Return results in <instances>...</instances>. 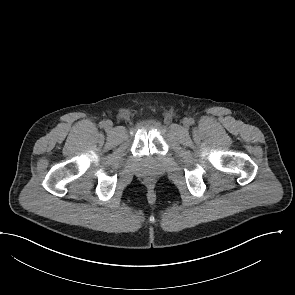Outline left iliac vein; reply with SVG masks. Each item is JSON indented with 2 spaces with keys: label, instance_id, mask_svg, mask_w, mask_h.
I'll return each instance as SVG.
<instances>
[{
  "label": "left iliac vein",
  "instance_id": "1",
  "mask_svg": "<svg viewBox=\"0 0 295 295\" xmlns=\"http://www.w3.org/2000/svg\"><path fill=\"white\" fill-rule=\"evenodd\" d=\"M183 126L185 128H188L190 126V122H189V119L188 118H184L183 119Z\"/></svg>",
  "mask_w": 295,
  "mask_h": 295
}]
</instances>
